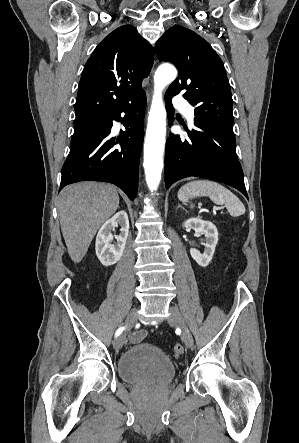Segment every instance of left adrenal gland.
<instances>
[{"instance_id":"a2214340","label":"left adrenal gland","mask_w":299,"mask_h":443,"mask_svg":"<svg viewBox=\"0 0 299 443\" xmlns=\"http://www.w3.org/2000/svg\"><path fill=\"white\" fill-rule=\"evenodd\" d=\"M177 208H182L183 210H185L184 208H183V206H181L180 204H178V207Z\"/></svg>"}]
</instances>
